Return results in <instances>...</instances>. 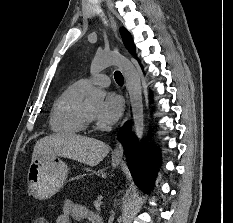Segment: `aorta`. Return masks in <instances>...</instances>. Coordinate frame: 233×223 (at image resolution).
Wrapping results in <instances>:
<instances>
[{
  "label": "aorta",
  "instance_id": "aorta-1",
  "mask_svg": "<svg viewBox=\"0 0 233 223\" xmlns=\"http://www.w3.org/2000/svg\"><path fill=\"white\" fill-rule=\"evenodd\" d=\"M109 66H118L124 76L130 96L136 135L138 139H142L144 131V113L142 88L137 70L131 62H128V60H125V58H122V56L118 54V56L94 58L91 64L90 74H99V72H102L105 68H109ZM105 96V92L98 90V88H88L85 102H89V104H99V102H104Z\"/></svg>",
  "mask_w": 233,
  "mask_h": 223
}]
</instances>
